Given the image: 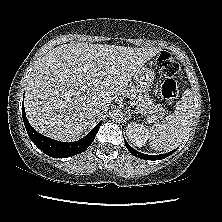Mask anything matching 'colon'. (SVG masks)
Here are the masks:
<instances>
[{
  "mask_svg": "<svg viewBox=\"0 0 222 222\" xmlns=\"http://www.w3.org/2000/svg\"><path fill=\"white\" fill-rule=\"evenodd\" d=\"M156 64L165 77L161 86V95L168 104H172L179 94L175 79L181 74L180 64L167 52H162L158 55Z\"/></svg>",
  "mask_w": 222,
  "mask_h": 222,
  "instance_id": "obj_1",
  "label": "colon"
}]
</instances>
